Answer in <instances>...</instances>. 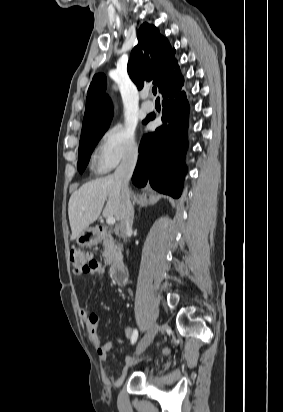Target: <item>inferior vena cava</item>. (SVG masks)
Instances as JSON below:
<instances>
[{"label": "inferior vena cava", "mask_w": 283, "mask_h": 412, "mask_svg": "<svg viewBox=\"0 0 283 412\" xmlns=\"http://www.w3.org/2000/svg\"><path fill=\"white\" fill-rule=\"evenodd\" d=\"M137 159L138 150L134 148L124 156L114 173V176L120 180L122 186L119 229L123 238H126L132 231L134 208L130 200L128 184L135 169Z\"/></svg>", "instance_id": "1"}]
</instances>
